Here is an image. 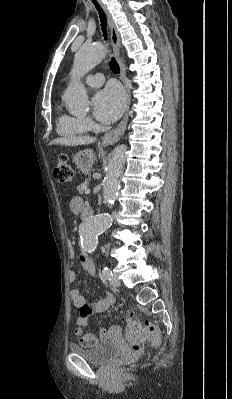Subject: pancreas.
<instances>
[{"instance_id": "obj_1", "label": "pancreas", "mask_w": 232, "mask_h": 399, "mask_svg": "<svg viewBox=\"0 0 232 399\" xmlns=\"http://www.w3.org/2000/svg\"><path fill=\"white\" fill-rule=\"evenodd\" d=\"M88 184H89L88 180H85V182H83V184H80V186H77V190H78L79 194H83V192H85V190H87Z\"/></svg>"}]
</instances>
